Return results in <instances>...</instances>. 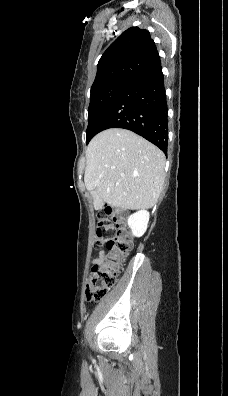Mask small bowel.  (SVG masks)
Returning a JSON list of instances; mask_svg holds the SVG:
<instances>
[{
	"label": "small bowel",
	"mask_w": 228,
	"mask_h": 396,
	"mask_svg": "<svg viewBox=\"0 0 228 396\" xmlns=\"http://www.w3.org/2000/svg\"><path fill=\"white\" fill-rule=\"evenodd\" d=\"M103 254H104V251H100V252H99V256L96 257V258H94V259H92V263H93V264H96V263L100 262L101 257L103 256Z\"/></svg>",
	"instance_id": "small-bowel-1"
}]
</instances>
